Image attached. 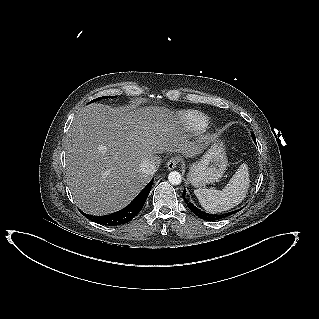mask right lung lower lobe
Listing matches in <instances>:
<instances>
[{
  "mask_svg": "<svg viewBox=\"0 0 319 319\" xmlns=\"http://www.w3.org/2000/svg\"><path fill=\"white\" fill-rule=\"evenodd\" d=\"M153 180L154 179H152L146 185V187L135 197V199L128 206L116 213L104 216H93L84 214L82 212L81 213L88 219L102 225L115 226L127 223L141 211L151 190Z\"/></svg>",
  "mask_w": 319,
  "mask_h": 319,
  "instance_id": "right-lung-lower-lobe-1",
  "label": "right lung lower lobe"
}]
</instances>
